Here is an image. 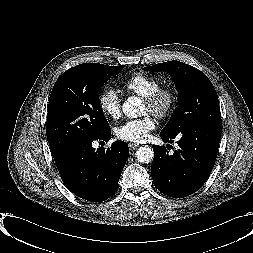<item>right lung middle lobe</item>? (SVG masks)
<instances>
[{"label": "right lung middle lobe", "instance_id": "obj_1", "mask_svg": "<svg viewBox=\"0 0 253 253\" xmlns=\"http://www.w3.org/2000/svg\"><path fill=\"white\" fill-rule=\"evenodd\" d=\"M124 65L84 63L68 69L50 95L46 133L54 158L83 138H95L109 129L100 107L99 91Z\"/></svg>", "mask_w": 253, "mask_h": 253}]
</instances>
